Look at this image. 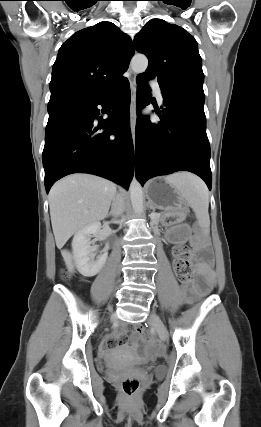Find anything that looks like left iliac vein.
<instances>
[{
    "label": "left iliac vein",
    "mask_w": 261,
    "mask_h": 427,
    "mask_svg": "<svg viewBox=\"0 0 261 427\" xmlns=\"http://www.w3.org/2000/svg\"><path fill=\"white\" fill-rule=\"evenodd\" d=\"M149 321L151 325L154 326L162 340L168 341L167 329L160 317L154 311L150 314Z\"/></svg>",
    "instance_id": "left-iliac-vein-1"
}]
</instances>
